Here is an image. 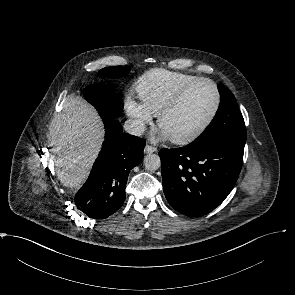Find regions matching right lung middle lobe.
<instances>
[{
  "label": "right lung middle lobe",
  "mask_w": 295,
  "mask_h": 295,
  "mask_svg": "<svg viewBox=\"0 0 295 295\" xmlns=\"http://www.w3.org/2000/svg\"><path fill=\"white\" fill-rule=\"evenodd\" d=\"M129 71L128 66H114L101 69L99 74L107 78H120ZM84 97L96 108L102 118H115L123 109L120 95L110 84H92L85 88Z\"/></svg>",
  "instance_id": "obj_1"
}]
</instances>
